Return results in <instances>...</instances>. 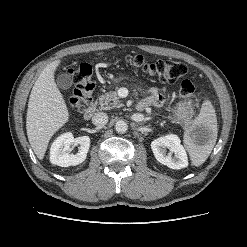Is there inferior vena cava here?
Wrapping results in <instances>:
<instances>
[{
    "label": "inferior vena cava",
    "instance_id": "inferior-vena-cava-1",
    "mask_svg": "<svg viewBox=\"0 0 247 247\" xmlns=\"http://www.w3.org/2000/svg\"><path fill=\"white\" fill-rule=\"evenodd\" d=\"M108 122V115L103 112L95 113V115L92 117V123L95 126H104Z\"/></svg>",
    "mask_w": 247,
    "mask_h": 247
}]
</instances>
